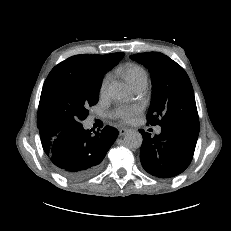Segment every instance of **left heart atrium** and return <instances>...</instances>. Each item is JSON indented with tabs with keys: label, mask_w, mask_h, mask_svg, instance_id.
Here are the masks:
<instances>
[{
	"label": "left heart atrium",
	"mask_w": 231,
	"mask_h": 231,
	"mask_svg": "<svg viewBox=\"0 0 231 231\" xmlns=\"http://www.w3.org/2000/svg\"><path fill=\"white\" fill-rule=\"evenodd\" d=\"M137 111L136 108L121 107L117 109L116 114L120 119L128 121L137 113Z\"/></svg>",
	"instance_id": "left-heart-atrium-1"
}]
</instances>
